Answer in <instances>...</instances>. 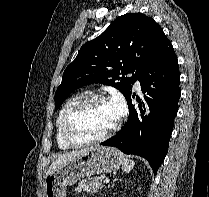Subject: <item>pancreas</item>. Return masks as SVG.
<instances>
[{"label": "pancreas", "instance_id": "pancreas-1", "mask_svg": "<svg viewBox=\"0 0 209 197\" xmlns=\"http://www.w3.org/2000/svg\"><path fill=\"white\" fill-rule=\"evenodd\" d=\"M102 181V177L84 179L78 184V187L75 190L77 192L85 191L89 193H96L104 187Z\"/></svg>", "mask_w": 209, "mask_h": 197}]
</instances>
